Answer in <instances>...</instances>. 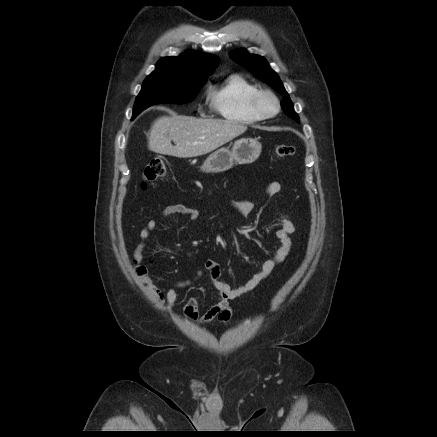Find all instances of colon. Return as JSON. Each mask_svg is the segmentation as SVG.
<instances>
[{
    "instance_id": "obj_1",
    "label": "colon",
    "mask_w": 437,
    "mask_h": 437,
    "mask_svg": "<svg viewBox=\"0 0 437 437\" xmlns=\"http://www.w3.org/2000/svg\"><path fill=\"white\" fill-rule=\"evenodd\" d=\"M295 148L292 145H278L275 148V154L279 158H284L288 156L294 155ZM167 170V161L163 157H155L146 165L143 173L144 183L147 184L153 183L162 176L165 175ZM137 274L147 280V268L144 265H139L137 267ZM147 282V281H146Z\"/></svg>"
}]
</instances>
